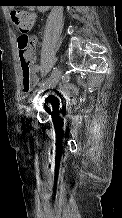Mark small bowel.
Masks as SVG:
<instances>
[{
  "label": "small bowel",
  "mask_w": 122,
  "mask_h": 218,
  "mask_svg": "<svg viewBox=\"0 0 122 218\" xmlns=\"http://www.w3.org/2000/svg\"><path fill=\"white\" fill-rule=\"evenodd\" d=\"M31 72L33 77V86H36L39 82V75L41 72V67L35 62V56L32 52L31 54ZM62 93L67 98H70V88L66 87L62 89Z\"/></svg>",
  "instance_id": "1"
}]
</instances>
